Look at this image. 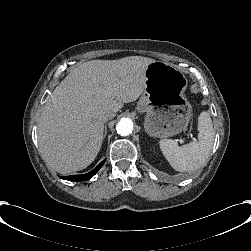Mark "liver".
I'll list each match as a JSON object with an SVG mask.
<instances>
[{"instance_id":"6515ba94","label":"liver","mask_w":251,"mask_h":251,"mask_svg":"<svg viewBox=\"0 0 251 251\" xmlns=\"http://www.w3.org/2000/svg\"><path fill=\"white\" fill-rule=\"evenodd\" d=\"M152 62L142 56L91 60L59 83L38 122L39 150L56 172L79 171L94 161L104 123L144 92L146 67Z\"/></svg>"}]
</instances>
